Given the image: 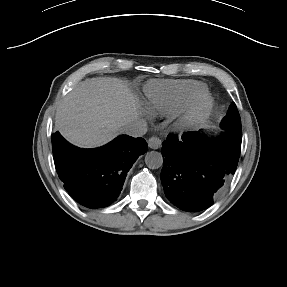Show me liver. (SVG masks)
<instances>
[{
  "instance_id": "obj_1",
  "label": "liver",
  "mask_w": 287,
  "mask_h": 287,
  "mask_svg": "<svg viewBox=\"0 0 287 287\" xmlns=\"http://www.w3.org/2000/svg\"><path fill=\"white\" fill-rule=\"evenodd\" d=\"M139 105L128 85L118 78L97 77L82 81L60 103L55 128L81 148L103 146L138 119Z\"/></svg>"
}]
</instances>
